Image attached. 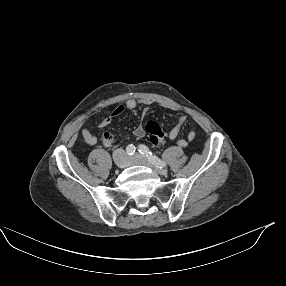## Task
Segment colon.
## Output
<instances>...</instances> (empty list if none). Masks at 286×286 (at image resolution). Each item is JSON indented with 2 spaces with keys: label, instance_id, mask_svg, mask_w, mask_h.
Instances as JSON below:
<instances>
[{
  "label": "colon",
  "instance_id": "1",
  "mask_svg": "<svg viewBox=\"0 0 286 286\" xmlns=\"http://www.w3.org/2000/svg\"><path fill=\"white\" fill-rule=\"evenodd\" d=\"M146 136L151 143L159 144L166 139L167 131L162 124L155 121H148L146 124ZM102 141L113 142V135L109 132L104 133Z\"/></svg>",
  "mask_w": 286,
  "mask_h": 286
}]
</instances>
